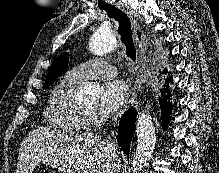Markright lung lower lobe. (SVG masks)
I'll list each match as a JSON object with an SVG mask.
<instances>
[{
    "mask_svg": "<svg viewBox=\"0 0 219 173\" xmlns=\"http://www.w3.org/2000/svg\"><path fill=\"white\" fill-rule=\"evenodd\" d=\"M163 73H167V71L164 70ZM169 80L172 81V77H170ZM165 92L168 93L166 97H165ZM162 94L164 95L163 99H160L162 128L166 130L171 114V108H172L170 103H167L166 100L167 98L170 97V91L168 87L164 91H162ZM136 116H137L136 109H133V107H131L122 116L120 120V125L118 127L117 141L121 146L122 150L124 151V153L127 155L129 154V146L133 136Z\"/></svg>",
    "mask_w": 219,
    "mask_h": 173,
    "instance_id": "right-lung-lower-lobe-1",
    "label": "right lung lower lobe"
}]
</instances>
